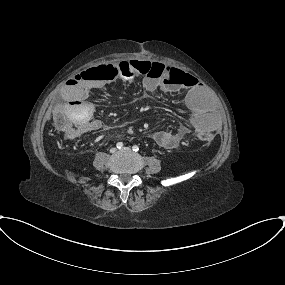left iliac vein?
Listing matches in <instances>:
<instances>
[{
    "label": "left iliac vein",
    "instance_id": "obj_1",
    "mask_svg": "<svg viewBox=\"0 0 285 285\" xmlns=\"http://www.w3.org/2000/svg\"><path fill=\"white\" fill-rule=\"evenodd\" d=\"M131 150V148L130 147H124L123 149H122V151H130Z\"/></svg>",
    "mask_w": 285,
    "mask_h": 285
}]
</instances>
